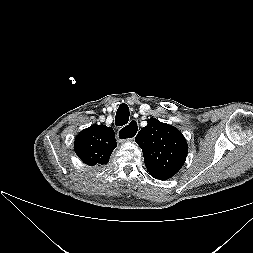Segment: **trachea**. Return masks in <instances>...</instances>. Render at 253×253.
Returning a JSON list of instances; mask_svg holds the SVG:
<instances>
[{
  "mask_svg": "<svg viewBox=\"0 0 253 253\" xmlns=\"http://www.w3.org/2000/svg\"><path fill=\"white\" fill-rule=\"evenodd\" d=\"M129 108L126 104H121L116 112L115 124L117 126L125 125L129 120Z\"/></svg>",
  "mask_w": 253,
  "mask_h": 253,
  "instance_id": "obj_1",
  "label": "trachea"
}]
</instances>
